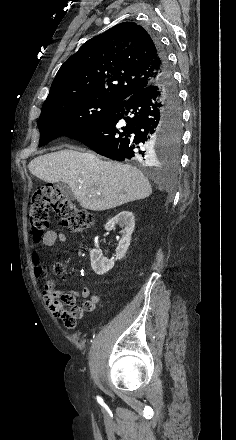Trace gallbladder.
<instances>
[{
	"instance_id": "obj_1",
	"label": "gallbladder",
	"mask_w": 236,
	"mask_h": 440,
	"mask_svg": "<svg viewBox=\"0 0 236 440\" xmlns=\"http://www.w3.org/2000/svg\"><path fill=\"white\" fill-rule=\"evenodd\" d=\"M56 187L60 190V192L71 199H74L73 193L70 188L64 182H58Z\"/></svg>"
}]
</instances>
